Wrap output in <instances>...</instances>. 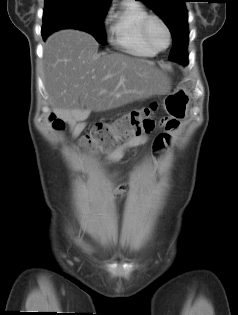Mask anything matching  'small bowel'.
I'll list each match as a JSON object with an SVG mask.
<instances>
[{
    "mask_svg": "<svg viewBox=\"0 0 238 315\" xmlns=\"http://www.w3.org/2000/svg\"><path fill=\"white\" fill-rule=\"evenodd\" d=\"M166 127L169 129L174 127V124L172 122H167ZM83 128L82 123H76L72 126L73 134L79 133ZM168 139L167 134H160L158 137H153L152 140H150L149 145L150 147H154V152L157 158H161L162 155V147H172L173 141L172 140H166ZM148 141L147 135H140L135 136L128 141L124 142L123 144L117 146L116 148L112 149L110 152H108L104 158L106 163H112L120 160L124 153L133 147H137L140 145L145 144ZM128 185L122 184L117 188V192L119 196H122L126 190Z\"/></svg>",
    "mask_w": 238,
    "mask_h": 315,
    "instance_id": "obj_1",
    "label": "small bowel"
}]
</instances>
